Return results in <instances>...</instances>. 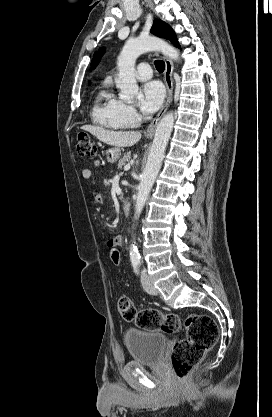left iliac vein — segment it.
Wrapping results in <instances>:
<instances>
[{
    "label": "left iliac vein",
    "instance_id": "left-iliac-vein-1",
    "mask_svg": "<svg viewBox=\"0 0 272 417\" xmlns=\"http://www.w3.org/2000/svg\"><path fill=\"white\" fill-rule=\"evenodd\" d=\"M141 282L144 290L151 294V295H157L158 291L154 287L153 283L150 281L149 276L147 275L146 271L143 270L141 274Z\"/></svg>",
    "mask_w": 272,
    "mask_h": 417
}]
</instances>
